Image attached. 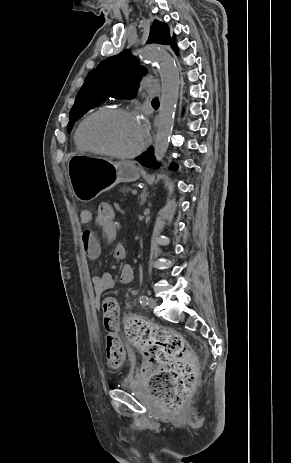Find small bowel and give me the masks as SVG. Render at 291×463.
Instances as JSON below:
<instances>
[{"label":"small bowel","mask_w":291,"mask_h":463,"mask_svg":"<svg viewBox=\"0 0 291 463\" xmlns=\"http://www.w3.org/2000/svg\"><path fill=\"white\" fill-rule=\"evenodd\" d=\"M80 220L83 224L88 225L93 221V213L84 209L80 213ZM95 221L98 224V217L96 215ZM99 225V224H98ZM100 226V225H99ZM102 228L103 236L108 241H113L117 235V224L114 223L113 226H100ZM81 244L86 255L100 263L101 253L100 245L94 234L90 229H86L81 234ZM126 256V249L123 245L118 244L114 248V257L118 259H123ZM134 278V272L132 267L129 264H125L120 271L119 282L121 284H128L132 282ZM91 282L93 285L94 292L97 296H100L106 291H109L116 286V281L113 276L108 272H102L98 275H93L91 277Z\"/></svg>","instance_id":"1"}]
</instances>
